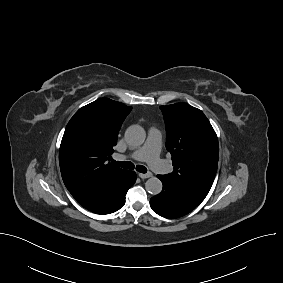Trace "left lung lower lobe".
<instances>
[{"label": "left lung lower lobe", "mask_w": 283, "mask_h": 283, "mask_svg": "<svg viewBox=\"0 0 283 283\" xmlns=\"http://www.w3.org/2000/svg\"><path fill=\"white\" fill-rule=\"evenodd\" d=\"M163 183V190L150 199L151 208L165 218H179L190 213L199 203L191 199L172 180L157 176Z\"/></svg>", "instance_id": "0a47b994"}]
</instances>
